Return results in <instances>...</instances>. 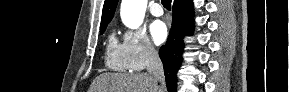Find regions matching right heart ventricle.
Segmentation results:
<instances>
[{"mask_svg":"<svg viewBox=\"0 0 289 92\" xmlns=\"http://www.w3.org/2000/svg\"><path fill=\"white\" fill-rule=\"evenodd\" d=\"M106 63L113 70L125 71L128 69L124 59L122 44H119L113 35L108 39Z\"/></svg>","mask_w":289,"mask_h":92,"instance_id":"obj_1","label":"right heart ventricle"}]
</instances>
